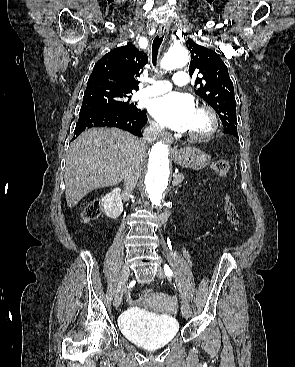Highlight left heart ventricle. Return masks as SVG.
<instances>
[{
	"label": "left heart ventricle",
	"mask_w": 295,
	"mask_h": 367,
	"mask_svg": "<svg viewBox=\"0 0 295 367\" xmlns=\"http://www.w3.org/2000/svg\"><path fill=\"white\" fill-rule=\"evenodd\" d=\"M207 128H208L207 117L204 114L196 111V114L192 120V123L188 131L200 133V132L205 131Z\"/></svg>",
	"instance_id": "obj_1"
}]
</instances>
